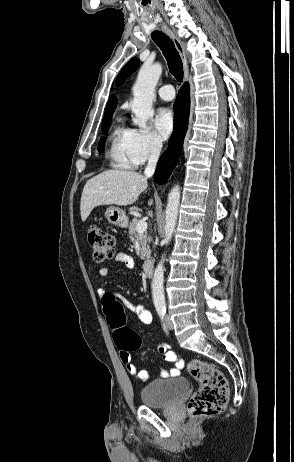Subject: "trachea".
I'll list each match as a JSON object with an SVG mask.
<instances>
[{
	"instance_id": "3493384b",
	"label": "trachea",
	"mask_w": 294,
	"mask_h": 462,
	"mask_svg": "<svg viewBox=\"0 0 294 462\" xmlns=\"http://www.w3.org/2000/svg\"><path fill=\"white\" fill-rule=\"evenodd\" d=\"M152 39L157 46H159L166 58L170 73L177 79V81L181 82L183 79V64L173 41L161 31H154L152 33Z\"/></svg>"
}]
</instances>
